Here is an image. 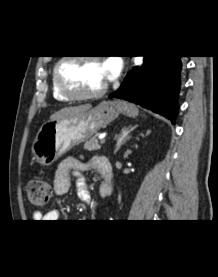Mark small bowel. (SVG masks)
I'll return each mask as SVG.
<instances>
[{
  "instance_id": "obj_1",
  "label": "small bowel",
  "mask_w": 218,
  "mask_h": 277,
  "mask_svg": "<svg viewBox=\"0 0 218 277\" xmlns=\"http://www.w3.org/2000/svg\"><path fill=\"white\" fill-rule=\"evenodd\" d=\"M106 158V157H104ZM96 170L103 178L112 177V168L110 165H100L98 157H94L89 161H80L73 157L63 159L56 168L54 175V191L57 195L66 194L71 186V177L75 175L76 191L81 202L89 204L91 202V194L87 188L82 173L87 170ZM111 193V190H110ZM60 212L56 209L47 212H35L33 219L35 222H55L59 218Z\"/></svg>"
}]
</instances>
